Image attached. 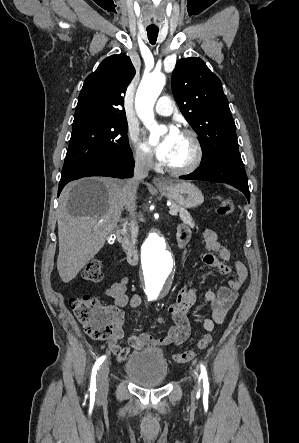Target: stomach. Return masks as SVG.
Masks as SVG:
<instances>
[{"instance_id":"obj_1","label":"stomach","mask_w":299,"mask_h":443,"mask_svg":"<svg viewBox=\"0 0 299 443\" xmlns=\"http://www.w3.org/2000/svg\"><path fill=\"white\" fill-rule=\"evenodd\" d=\"M159 192L183 208H195L204 201L202 192L190 182H168Z\"/></svg>"}]
</instances>
